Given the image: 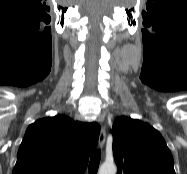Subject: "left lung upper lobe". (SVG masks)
Returning <instances> with one entry per match:
<instances>
[{"instance_id": "1", "label": "left lung upper lobe", "mask_w": 187, "mask_h": 174, "mask_svg": "<svg viewBox=\"0 0 187 174\" xmlns=\"http://www.w3.org/2000/svg\"><path fill=\"white\" fill-rule=\"evenodd\" d=\"M113 155L117 174H175L173 157L162 135L140 120L115 119Z\"/></svg>"}]
</instances>
